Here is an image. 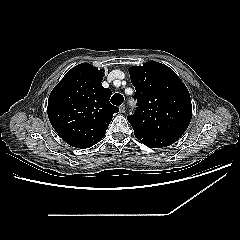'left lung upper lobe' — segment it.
<instances>
[{"instance_id": "left-lung-upper-lobe-1", "label": "left lung upper lobe", "mask_w": 240, "mask_h": 240, "mask_svg": "<svg viewBox=\"0 0 240 240\" xmlns=\"http://www.w3.org/2000/svg\"><path fill=\"white\" fill-rule=\"evenodd\" d=\"M135 86L138 107L127 117L140 137H172L179 139L192 118L189 92L168 66L149 61L129 69Z\"/></svg>"}]
</instances>
